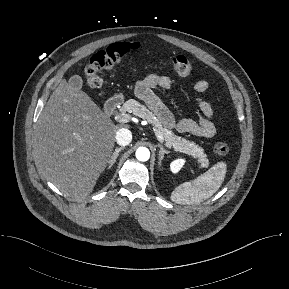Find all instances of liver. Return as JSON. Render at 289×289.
I'll return each mask as SVG.
<instances>
[{"label": "liver", "instance_id": "liver-1", "mask_svg": "<svg viewBox=\"0 0 289 289\" xmlns=\"http://www.w3.org/2000/svg\"><path fill=\"white\" fill-rule=\"evenodd\" d=\"M118 128L85 92L62 80L38 119L36 165L65 196L84 198L109 163Z\"/></svg>", "mask_w": 289, "mask_h": 289}]
</instances>
